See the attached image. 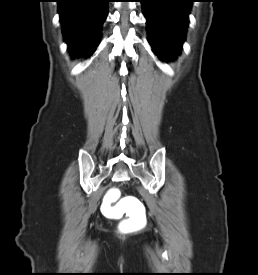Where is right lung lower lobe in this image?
<instances>
[{"label":"right lung lower lobe","instance_id":"1","mask_svg":"<svg viewBox=\"0 0 258 275\" xmlns=\"http://www.w3.org/2000/svg\"><path fill=\"white\" fill-rule=\"evenodd\" d=\"M108 0H58V12L68 50L74 56L93 54L107 17Z\"/></svg>","mask_w":258,"mask_h":275}]
</instances>
